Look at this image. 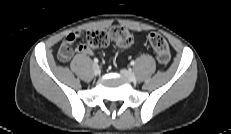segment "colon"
Returning <instances> with one entry per match:
<instances>
[{
  "instance_id": "obj_1",
  "label": "colon",
  "mask_w": 231,
  "mask_h": 134,
  "mask_svg": "<svg viewBox=\"0 0 231 134\" xmlns=\"http://www.w3.org/2000/svg\"><path fill=\"white\" fill-rule=\"evenodd\" d=\"M86 39L88 46L93 48L104 47L112 41L116 46L125 49L133 42L130 31L118 25L111 27L109 30L97 29L89 31L86 34ZM148 39L156 53L158 62L166 66L171 59V53L166 39L157 32L150 33Z\"/></svg>"
}]
</instances>
